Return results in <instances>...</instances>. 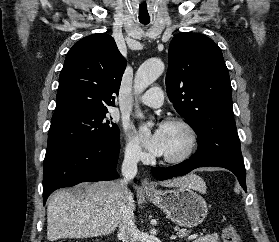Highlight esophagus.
Masks as SVG:
<instances>
[{
    "label": "esophagus",
    "mask_w": 279,
    "mask_h": 242,
    "mask_svg": "<svg viewBox=\"0 0 279 242\" xmlns=\"http://www.w3.org/2000/svg\"><path fill=\"white\" fill-rule=\"evenodd\" d=\"M141 190L144 192L155 191V186L148 179H144L141 184Z\"/></svg>",
    "instance_id": "34e87169"
}]
</instances>
